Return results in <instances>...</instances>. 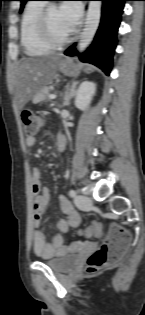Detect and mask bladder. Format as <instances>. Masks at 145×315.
<instances>
[{"label": "bladder", "mask_w": 145, "mask_h": 315, "mask_svg": "<svg viewBox=\"0 0 145 315\" xmlns=\"http://www.w3.org/2000/svg\"><path fill=\"white\" fill-rule=\"evenodd\" d=\"M42 261L57 273H66L79 263L78 256L64 255L58 258H43Z\"/></svg>", "instance_id": "1"}]
</instances>
